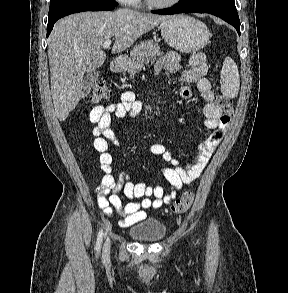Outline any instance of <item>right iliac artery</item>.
I'll use <instances>...</instances> for the list:
<instances>
[{
    "label": "right iliac artery",
    "mask_w": 288,
    "mask_h": 293,
    "mask_svg": "<svg viewBox=\"0 0 288 293\" xmlns=\"http://www.w3.org/2000/svg\"><path fill=\"white\" fill-rule=\"evenodd\" d=\"M102 239H103V231L100 230L98 233V237H97V245H96V250L97 252L100 250L101 248V244H102Z\"/></svg>",
    "instance_id": "82829eb1"
}]
</instances>
